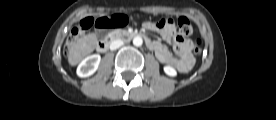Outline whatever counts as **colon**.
Wrapping results in <instances>:
<instances>
[{
  "label": "colon",
  "mask_w": 276,
  "mask_h": 120,
  "mask_svg": "<svg viewBox=\"0 0 276 120\" xmlns=\"http://www.w3.org/2000/svg\"><path fill=\"white\" fill-rule=\"evenodd\" d=\"M123 24V20L121 18H101L96 21H94L92 18L86 17L83 18L79 24L74 27L71 31V34L67 41V47L70 46L75 39L81 34L82 32L88 30L91 26H95L99 29H105L109 27H117ZM160 27H171L174 26V22L171 19H162L158 22ZM178 30L179 35L182 37H187L192 34L193 27L191 24V21L185 17L182 16L178 19ZM203 49V43L200 39H196L192 43V50L195 55H200Z\"/></svg>",
  "instance_id": "obj_1"
}]
</instances>
